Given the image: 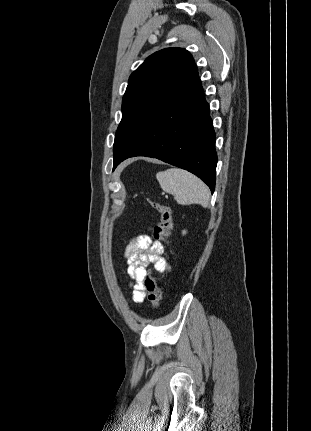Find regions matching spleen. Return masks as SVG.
<instances>
[{
    "label": "spleen",
    "mask_w": 311,
    "mask_h": 431,
    "mask_svg": "<svg viewBox=\"0 0 311 431\" xmlns=\"http://www.w3.org/2000/svg\"><path fill=\"white\" fill-rule=\"evenodd\" d=\"M156 180L164 192L174 196L177 204H182V206L201 204L203 208H207L210 196L209 188L190 172L170 168L165 172H158Z\"/></svg>",
    "instance_id": "obj_1"
}]
</instances>
